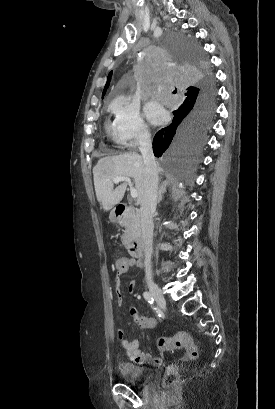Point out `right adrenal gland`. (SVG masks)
Wrapping results in <instances>:
<instances>
[{
    "label": "right adrenal gland",
    "mask_w": 275,
    "mask_h": 409,
    "mask_svg": "<svg viewBox=\"0 0 275 409\" xmlns=\"http://www.w3.org/2000/svg\"><path fill=\"white\" fill-rule=\"evenodd\" d=\"M166 186H167V182H161L160 188L158 190V200H157V202H160V200H162L163 192H166Z\"/></svg>",
    "instance_id": "right-adrenal-gland-1"
}]
</instances>
